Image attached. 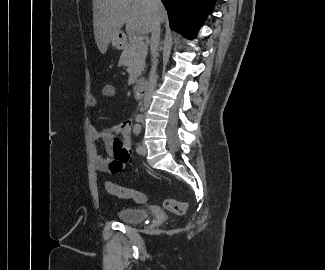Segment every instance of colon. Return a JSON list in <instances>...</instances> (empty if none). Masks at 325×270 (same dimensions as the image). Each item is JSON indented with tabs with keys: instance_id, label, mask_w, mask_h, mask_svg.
I'll use <instances>...</instances> for the list:
<instances>
[{
	"instance_id": "1",
	"label": "colon",
	"mask_w": 325,
	"mask_h": 270,
	"mask_svg": "<svg viewBox=\"0 0 325 270\" xmlns=\"http://www.w3.org/2000/svg\"><path fill=\"white\" fill-rule=\"evenodd\" d=\"M102 95L108 100L116 99L117 89L115 85L112 83L105 84L102 88ZM105 188L108 193L120 198L130 199L138 203H144L146 201V195L144 193L121 187L112 182H106ZM164 207L174 214L182 215L186 212L188 204L187 202H181L172 198H168L164 201Z\"/></svg>"
}]
</instances>
